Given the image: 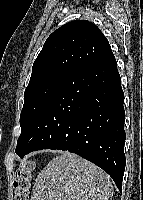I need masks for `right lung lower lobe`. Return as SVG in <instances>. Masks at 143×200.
Masks as SVG:
<instances>
[{"instance_id": "1", "label": "right lung lower lobe", "mask_w": 143, "mask_h": 200, "mask_svg": "<svg viewBox=\"0 0 143 200\" xmlns=\"http://www.w3.org/2000/svg\"><path fill=\"white\" fill-rule=\"evenodd\" d=\"M124 93L113 53L70 75L32 121L16 152L67 150L106 171L122 190Z\"/></svg>"}]
</instances>
